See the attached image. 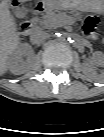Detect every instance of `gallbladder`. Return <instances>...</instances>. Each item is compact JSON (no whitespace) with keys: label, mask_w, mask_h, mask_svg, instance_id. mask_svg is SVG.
I'll return each instance as SVG.
<instances>
[{"label":"gallbladder","mask_w":104,"mask_h":137,"mask_svg":"<svg viewBox=\"0 0 104 137\" xmlns=\"http://www.w3.org/2000/svg\"><path fill=\"white\" fill-rule=\"evenodd\" d=\"M27 13V10L24 6H21V7H17L15 10H14V14L16 17L18 18H23L25 17Z\"/></svg>","instance_id":"bac80fb5"}]
</instances>
